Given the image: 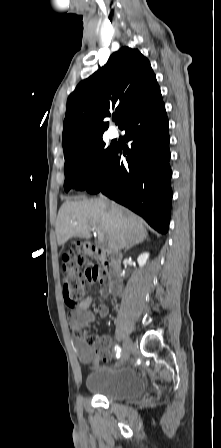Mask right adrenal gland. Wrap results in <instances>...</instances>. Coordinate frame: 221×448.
<instances>
[{
    "label": "right adrenal gland",
    "mask_w": 221,
    "mask_h": 448,
    "mask_svg": "<svg viewBox=\"0 0 221 448\" xmlns=\"http://www.w3.org/2000/svg\"><path fill=\"white\" fill-rule=\"evenodd\" d=\"M132 246H129V247H127L126 249H125V251H127L128 249H130Z\"/></svg>",
    "instance_id": "right-adrenal-gland-1"
}]
</instances>
